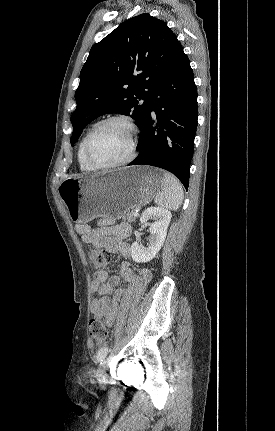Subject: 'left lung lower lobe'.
I'll return each mask as SVG.
<instances>
[{
	"instance_id": "obj_1",
	"label": "left lung lower lobe",
	"mask_w": 275,
	"mask_h": 431,
	"mask_svg": "<svg viewBox=\"0 0 275 431\" xmlns=\"http://www.w3.org/2000/svg\"><path fill=\"white\" fill-rule=\"evenodd\" d=\"M197 87L180 46L153 93L140 128L139 155L128 165H151L176 175L187 189L197 127ZM152 111L156 118L152 117Z\"/></svg>"
}]
</instances>
